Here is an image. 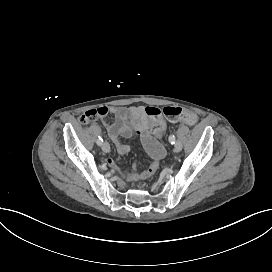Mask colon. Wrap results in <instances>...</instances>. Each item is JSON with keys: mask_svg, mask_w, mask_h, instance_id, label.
<instances>
[{"mask_svg": "<svg viewBox=\"0 0 272 272\" xmlns=\"http://www.w3.org/2000/svg\"><path fill=\"white\" fill-rule=\"evenodd\" d=\"M108 114L107 107L92 108L82 116L83 123L89 122L98 116L104 117ZM147 121L151 122L154 129L163 131L167 129L169 121L176 122L182 120L185 122H193L197 118V113L194 110H182L179 106H151L145 112ZM169 119V120H168Z\"/></svg>", "mask_w": 272, "mask_h": 272, "instance_id": "1", "label": "colon"}]
</instances>
